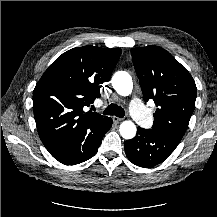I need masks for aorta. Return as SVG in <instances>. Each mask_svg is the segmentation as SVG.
<instances>
[{"mask_svg": "<svg viewBox=\"0 0 217 217\" xmlns=\"http://www.w3.org/2000/svg\"><path fill=\"white\" fill-rule=\"evenodd\" d=\"M112 86L115 91L121 96H128L131 94L133 89V82L130 74L126 71H118L112 77ZM137 128L135 124L130 121L126 120L121 123L119 127L120 135L124 139H132L136 135Z\"/></svg>", "mask_w": 217, "mask_h": 217, "instance_id": "obj_1", "label": "aorta"}]
</instances>
